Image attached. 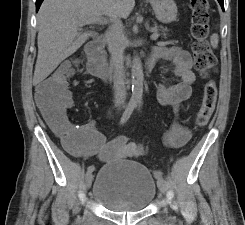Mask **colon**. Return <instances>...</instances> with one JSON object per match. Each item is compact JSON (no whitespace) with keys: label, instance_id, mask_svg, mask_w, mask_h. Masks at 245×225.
<instances>
[{"label":"colon","instance_id":"colon-1","mask_svg":"<svg viewBox=\"0 0 245 225\" xmlns=\"http://www.w3.org/2000/svg\"><path fill=\"white\" fill-rule=\"evenodd\" d=\"M209 8L207 0H191V33L194 37L192 50L195 67L207 79L203 89L202 105L195 118V123L199 127L207 125L212 119L217 99V87L211 79V76L216 72L217 63L208 41ZM69 80L68 74L58 72L39 86L41 104L51 114H59L65 107L69 97ZM75 132L76 130L71 127H63L60 130L65 147L71 148L73 146L72 135Z\"/></svg>","mask_w":245,"mask_h":225}]
</instances>
